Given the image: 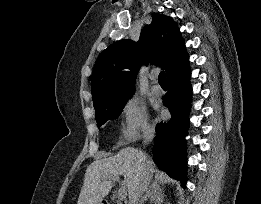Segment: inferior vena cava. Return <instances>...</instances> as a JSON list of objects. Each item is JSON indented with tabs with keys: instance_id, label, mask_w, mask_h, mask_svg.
Segmentation results:
<instances>
[{
	"instance_id": "inferior-vena-cava-1",
	"label": "inferior vena cava",
	"mask_w": 261,
	"mask_h": 204,
	"mask_svg": "<svg viewBox=\"0 0 261 204\" xmlns=\"http://www.w3.org/2000/svg\"><path fill=\"white\" fill-rule=\"evenodd\" d=\"M154 138V130L149 129L145 134H144V144H148L151 142ZM148 181H149V169L146 166L145 172H144V177L141 180L140 185L137 186V188L134 190V192L131 194V197L129 198L130 202L129 204H138V200L142 193L147 189L148 187Z\"/></svg>"
}]
</instances>
